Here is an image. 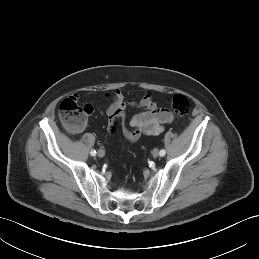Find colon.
Masks as SVG:
<instances>
[{
	"label": "colon",
	"mask_w": 259,
	"mask_h": 259,
	"mask_svg": "<svg viewBox=\"0 0 259 259\" xmlns=\"http://www.w3.org/2000/svg\"><path fill=\"white\" fill-rule=\"evenodd\" d=\"M171 105L176 114L184 115L189 110L190 102L185 95L177 94L172 99ZM58 113L62 124L71 131L81 130L86 123V106L79 105L73 96H69L61 101ZM118 119L119 117L116 116L109 122L108 131L110 134L116 132Z\"/></svg>",
	"instance_id": "obj_1"
}]
</instances>
